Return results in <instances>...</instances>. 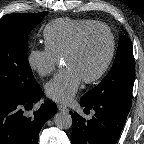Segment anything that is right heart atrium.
<instances>
[{"label": "right heart atrium", "mask_w": 144, "mask_h": 144, "mask_svg": "<svg viewBox=\"0 0 144 144\" xmlns=\"http://www.w3.org/2000/svg\"><path fill=\"white\" fill-rule=\"evenodd\" d=\"M29 67L40 76L50 75L60 63V57L48 47H33L27 54Z\"/></svg>", "instance_id": "obj_1"}]
</instances>
